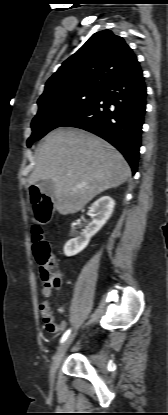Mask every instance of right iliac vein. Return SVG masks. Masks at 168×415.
I'll return each mask as SVG.
<instances>
[{
    "mask_svg": "<svg viewBox=\"0 0 168 415\" xmlns=\"http://www.w3.org/2000/svg\"><path fill=\"white\" fill-rule=\"evenodd\" d=\"M75 337V334H72L71 336H69L64 342L63 344L58 348L54 358H53V362L51 365V369H50V375L51 377L55 376V373L67 351V349L69 348L70 344L72 343L73 339Z\"/></svg>",
    "mask_w": 168,
    "mask_h": 415,
    "instance_id": "obj_1",
    "label": "right iliac vein"
}]
</instances>
